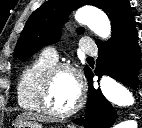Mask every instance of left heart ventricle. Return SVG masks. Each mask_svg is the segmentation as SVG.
I'll use <instances>...</instances> for the list:
<instances>
[{"label":"left heart ventricle","instance_id":"left-heart-ventricle-1","mask_svg":"<svg viewBox=\"0 0 142 128\" xmlns=\"http://www.w3.org/2000/svg\"><path fill=\"white\" fill-rule=\"evenodd\" d=\"M78 96L77 83L74 76L61 71L55 75L49 90V104L58 111L72 107Z\"/></svg>","mask_w":142,"mask_h":128}]
</instances>
